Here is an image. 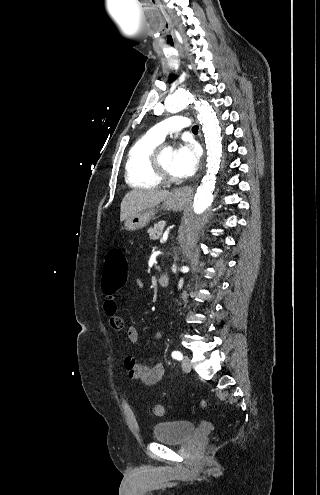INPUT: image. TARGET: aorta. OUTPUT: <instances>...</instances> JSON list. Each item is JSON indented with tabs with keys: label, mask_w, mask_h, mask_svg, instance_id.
Here are the masks:
<instances>
[{
	"label": "aorta",
	"mask_w": 320,
	"mask_h": 495,
	"mask_svg": "<svg viewBox=\"0 0 320 495\" xmlns=\"http://www.w3.org/2000/svg\"><path fill=\"white\" fill-rule=\"evenodd\" d=\"M193 100L192 93L178 90L165 100L164 105L169 113H177L189 106ZM196 109L205 136L207 164L206 174L179 229V243L183 249L201 239L203 230L211 223L213 216L217 213L213 193L222 156L221 128L212 106L206 102H198ZM182 283L183 280H180L179 287L182 286Z\"/></svg>",
	"instance_id": "aorta-1"
}]
</instances>
